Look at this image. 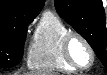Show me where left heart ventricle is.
<instances>
[{"label": "left heart ventricle", "instance_id": "obj_1", "mask_svg": "<svg viewBox=\"0 0 107 75\" xmlns=\"http://www.w3.org/2000/svg\"><path fill=\"white\" fill-rule=\"evenodd\" d=\"M70 52L73 59L80 65H87L90 62V53L85 44L79 39H73L70 44Z\"/></svg>", "mask_w": 107, "mask_h": 75}]
</instances>
